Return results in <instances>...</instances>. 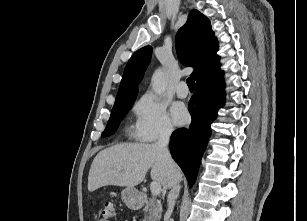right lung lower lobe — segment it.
<instances>
[{
  "label": "right lung lower lobe",
  "mask_w": 307,
  "mask_h": 221,
  "mask_svg": "<svg viewBox=\"0 0 307 221\" xmlns=\"http://www.w3.org/2000/svg\"><path fill=\"white\" fill-rule=\"evenodd\" d=\"M224 104V82L196 87L189 101L192 122L189 128L173 132L170 139L172 157L184 172L190 187L195 182L201 157L211 135L210 125Z\"/></svg>",
  "instance_id": "98d812e1"
}]
</instances>
